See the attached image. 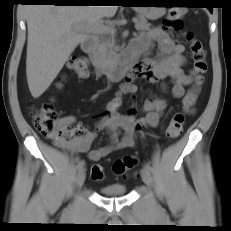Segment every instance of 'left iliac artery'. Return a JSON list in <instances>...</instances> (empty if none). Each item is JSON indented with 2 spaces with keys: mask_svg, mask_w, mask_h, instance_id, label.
<instances>
[{
  "mask_svg": "<svg viewBox=\"0 0 231 231\" xmlns=\"http://www.w3.org/2000/svg\"><path fill=\"white\" fill-rule=\"evenodd\" d=\"M145 168H147L151 172L153 171V168L151 167L149 163L145 164Z\"/></svg>",
  "mask_w": 231,
  "mask_h": 231,
  "instance_id": "1",
  "label": "left iliac artery"
}]
</instances>
